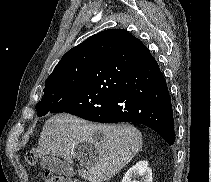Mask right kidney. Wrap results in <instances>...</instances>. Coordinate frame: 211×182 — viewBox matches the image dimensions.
Here are the masks:
<instances>
[{
  "label": "right kidney",
  "mask_w": 211,
  "mask_h": 182,
  "mask_svg": "<svg viewBox=\"0 0 211 182\" xmlns=\"http://www.w3.org/2000/svg\"><path fill=\"white\" fill-rule=\"evenodd\" d=\"M140 181L134 178H139ZM122 182H152V170L148 166L146 160L137 162L124 175Z\"/></svg>",
  "instance_id": "right-kidney-1"
}]
</instances>
